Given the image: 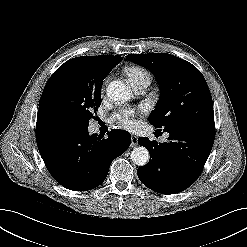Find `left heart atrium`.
<instances>
[{
	"label": "left heart atrium",
	"instance_id": "obj_1",
	"mask_svg": "<svg viewBox=\"0 0 247 247\" xmlns=\"http://www.w3.org/2000/svg\"><path fill=\"white\" fill-rule=\"evenodd\" d=\"M112 121L123 128H133L136 125V111L121 109L112 116Z\"/></svg>",
	"mask_w": 247,
	"mask_h": 247
}]
</instances>
